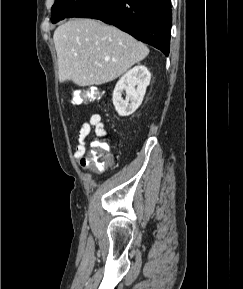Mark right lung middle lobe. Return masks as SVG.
Instances as JSON below:
<instances>
[{"instance_id": "obj_1", "label": "right lung middle lobe", "mask_w": 243, "mask_h": 289, "mask_svg": "<svg viewBox=\"0 0 243 289\" xmlns=\"http://www.w3.org/2000/svg\"><path fill=\"white\" fill-rule=\"evenodd\" d=\"M85 0H56L52 6V23H57L69 16V14L77 9Z\"/></svg>"}]
</instances>
